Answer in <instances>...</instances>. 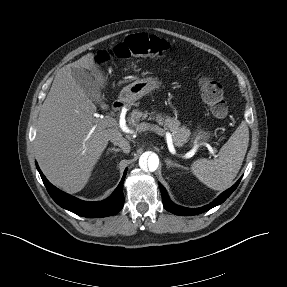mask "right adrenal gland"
Listing matches in <instances>:
<instances>
[{"label":"right adrenal gland","instance_id":"obj_1","mask_svg":"<svg viewBox=\"0 0 287 287\" xmlns=\"http://www.w3.org/2000/svg\"><path fill=\"white\" fill-rule=\"evenodd\" d=\"M119 151H121L119 148H115V147L108 148L107 155L109 154V152H115V154H116ZM115 157H116V155H115Z\"/></svg>","mask_w":287,"mask_h":287}]
</instances>
